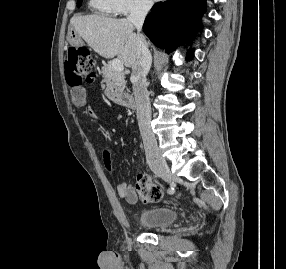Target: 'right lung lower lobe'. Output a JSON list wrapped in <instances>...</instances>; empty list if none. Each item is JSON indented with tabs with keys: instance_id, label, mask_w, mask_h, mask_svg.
<instances>
[{
	"instance_id": "obj_1",
	"label": "right lung lower lobe",
	"mask_w": 286,
	"mask_h": 269,
	"mask_svg": "<svg viewBox=\"0 0 286 269\" xmlns=\"http://www.w3.org/2000/svg\"><path fill=\"white\" fill-rule=\"evenodd\" d=\"M206 10V0H167L156 3L143 25L148 38L167 53L179 45L189 43L197 29H202L200 19ZM193 51L188 52L191 60Z\"/></svg>"
}]
</instances>
